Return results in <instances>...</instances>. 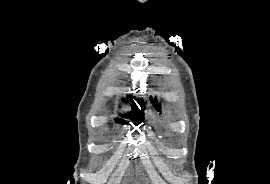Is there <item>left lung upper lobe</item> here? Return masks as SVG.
<instances>
[{
  "instance_id": "1",
  "label": "left lung upper lobe",
  "mask_w": 270,
  "mask_h": 184,
  "mask_svg": "<svg viewBox=\"0 0 270 184\" xmlns=\"http://www.w3.org/2000/svg\"><path fill=\"white\" fill-rule=\"evenodd\" d=\"M151 101H152V104L154 105V107L156 108V110L160 111V109H161L160 103H158L156 99H154V100L151 99Z\"/></svg>"
}]
</instances>
